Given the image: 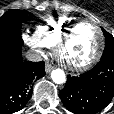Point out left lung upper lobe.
Here are the masks:
<instances>
[{"mask_svg":"<svg viewBox=\"0 0 114 114\" xmlns=\"http://www.w3.org/2000/svg\"><path fill=\"white\" fill-rule=\"evenodd\" d=\"M102 31L105 35L106 43L101 59H114V38L104 29H102Z\"/></svg>","mask_w":114,"mask_h":114,"instance_id":"left-lung-upper-lobe-1","label":"left lung upper lobe"}]
</instances>
